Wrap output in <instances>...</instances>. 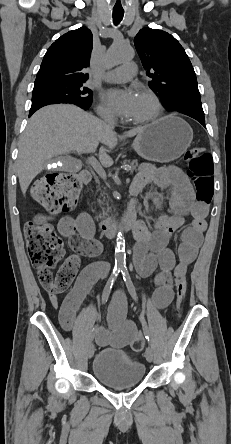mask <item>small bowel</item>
Masks as SVG:
<instances>
[{"label": "small bowel", "mask_w": 231, "mask_h": 444, "mask_svg": "<svg viewBox=\"0 0 231 444\" xmlns=\"http://www.w3.org/2000/svg\"><path fill=\"white\" fill-rule=\"evenodd\" d=\"M151 184L170 191L169 206L172 213L161 212L152 230H149L143 221H138L134 228L136 243L133 248V261L139 274L144 277L154 275L155 291L152 301L156 307L164 308L173 299V278L185 275L197 256L206 227L208 205L195 199L191 183L178 167L142 169L131 184V193L137 195ZM151 197L154 201H159L155 193H151ZM185 217H191L192 223L182 235L176 261L175 254L168 244L172 234L184 224ZM58 231L82 256L94 257L102 251V245L92 237V225L87 215H81L77 219L62 217ZM104 270L105 266L102 264L87 265L62 302L57 295H49L52 307L59 310V321L65 330L71 331L77 327L76 313ZM125 311L124 298L116 294L108 315L109 327L100 326L95 330L94 336L98 345L119 349L136 340L143 341L142 333L136 324L123 318Z\"/></svg>", "instance_id": "obj_1"}]
</instances>
